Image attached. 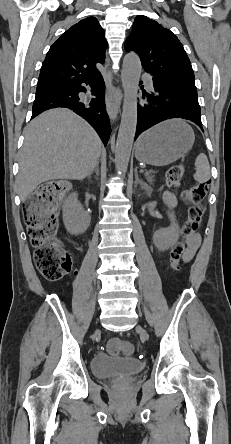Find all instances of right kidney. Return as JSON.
I'll list each match as a JSON object with an SVG mask.
<instances>
[{
    "label": "right kidney",
    "mask_w": 231,
    "mask_h": 444,
    "mask_svg": "<svg viewBox=\"0 0 231 444\" xmlns=\"http://www.w3.org/2000/svg\"><path fill=\"white\" fill-rule=\"evenodd\" d=\"M91 217L77 199V193H72L63 205V222L66 230L72 235L84 233L90 225Z\"/></svg>",
    "instance_id": "obj_1"
}]
</instances>
